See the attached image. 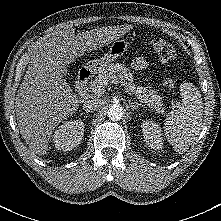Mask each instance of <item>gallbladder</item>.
<instances>
[{
  "instance_id": "bac80fb5",
  "label": "gallbladder",
  "mask_w": 221,
  "mask_h": 221,
  "mask_svg": "<svg viewBox=\"0 0 221 221\" xmlns=\"http://www.w3.org/2000/svg\"><path fill=\"white\" fill-rule=\"evenodd\" d=\"M62 72H63V75H66V74H67V70H66L65 67L63 68Z\"/></svg>"
}]
</instances>
